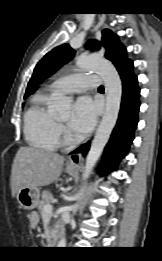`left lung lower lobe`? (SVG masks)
Masks as SVG:
<instances>
[{"label":"left lung lower lobe","mask_w":162,"mask_h":261,"mask_svg":"<svg viewBox=\"0 0 162 261\" xmlns=\"http://www.w3.org/2000/svg\"><path fill=\"white\" fill-rule=\"evenodd\" d=\"M118 72L122 80V102L117 124L104 151L102 174L115 170L119 161L128 153L138 123L140 89L137 76L133 73V62H129ZM88 150L89 142L70 154L83 152L86 155Z\"/></svg>","instance_id":"0a47b994"}]
</instances>
